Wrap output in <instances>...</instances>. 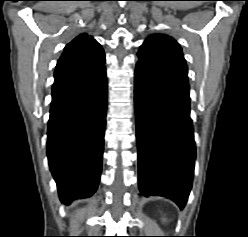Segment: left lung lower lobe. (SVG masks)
I'll list each match as a JSON object with an SVG mask.
<instances>
[{"label": "left lung lower lobe", "mask_w": 248, "mask_h": 237, "mask_svg": "<svg viewBox=\"0 0 248 237\" xmlns=\"http://www.w3.org/2000/svg\"><path fill=\"white\" fill-rule=\"evenodd\" d=\"M135 112L140 195L168 197L182 209L196 156L188 82L139 60Z\"/></svg>", "instance_id": "0a47b994"}]
</instances>
